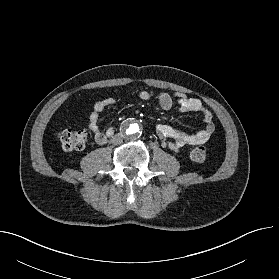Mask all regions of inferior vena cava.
Masks as SVG:
<instances>
[{"mask_svg":"<svg viewBox=\"0 0 279 279\" xmlns=\"http://www.w3.org/2000/svg\"><path fill=\"white\" fill-rule=\"evenodd\" d=\"M111 142L113 144H121L123 142V136L121 134H115L112 138H111Z\"/></svg>","mask_w":279,"mask_h":279,"instance_id":"obj_1","label":"inferior vena cava"}]
</instances>
